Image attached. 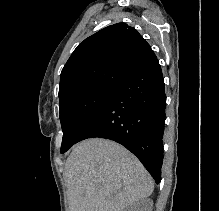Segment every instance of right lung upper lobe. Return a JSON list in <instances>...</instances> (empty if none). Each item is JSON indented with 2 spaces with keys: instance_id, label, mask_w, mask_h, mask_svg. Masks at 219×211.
Here are the masks:
<instances>
[{
  "instance_id": "obj_1",
  "label": "right lung upper lobe",
  "mask_w": 219,
  "mask_h": 211,
  "mask_svg": "<svg viewBox=\"0 0 219 211\" xmlns=\"http://www.w3.org/2000/svg\"><path fill=\"white\" fill-rule=\"evenodd\" d=\"M142 36L125 23L105 27L74 50L61 72L59 101L94 85H117L156 60Z\"/></svg>"
}]
</instances>
